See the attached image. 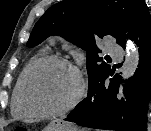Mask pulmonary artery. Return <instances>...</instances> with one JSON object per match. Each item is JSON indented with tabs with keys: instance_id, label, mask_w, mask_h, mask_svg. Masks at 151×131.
I'll return each mask as SVG.
<instances>
[{
	"instance_id": "1",
	"label": "pulmonary artery",
	"mask_w": 151,
	"mask_h": 131,
	"mask_svg": "<svg viewBox=\"0 0 151 131\" xmlns=\"http://www.w3.org/2000/svg\"><path fill=\"white\" fill-rule=\"evenodd\" d=\"M106 46L108 48V51L112 55H114L117 58H121L122 57V55H123L122 49L118 45H116V43L113 40L108 39L106 41Z\"/></svg>"
}]
</instances>
